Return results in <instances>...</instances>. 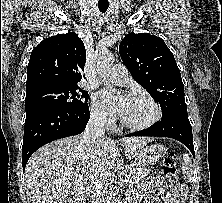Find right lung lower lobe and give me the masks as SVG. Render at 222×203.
Here are the masks:
<instances>
[{"mask_svg": "<svg viewBox=\"0 0 222 203\" xmlns=\"http://www.w3.org/2000/svg\"><path fill=\"white\" fill-rule=\"evenodd\" d=\"M90 118L89 108L67 109L41 106L26 112L22 146L23 169L30 156L41 146L84 131Z\"/></svg>", "mask_w": 222, "mask_h": 203, "instance_id": "98d812e1", "label": "right lung lower lobe"}]
</instances>
